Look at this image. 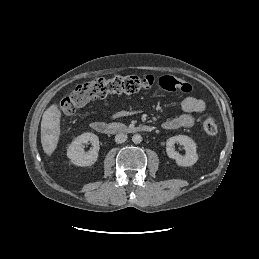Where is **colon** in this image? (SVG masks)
<instances>
[{
    "label": "colon",
    "instance_id": "colon-1",
    "mask_svg": "<svg viewBox=\"0 0 259 259\" xmlns=\"http://www.w3.org/2000/svg\"><path fill=\"white\" fill-rule=\"evenodd\" d=\"M153 87L173 93L187 94L191 92V85L176 76L166 75L155 78L152 75L137 76H116L111 79L98 78L78 85L60 103L62 115L70 116L89 102L105 98L110 94H133L140 91H147ZM203 131L207 135L217 133V124L211 116H208L202 123Z\"/></svg>",
    "mask_w": 259,
    "mask_h": 259
}]
</instances>
